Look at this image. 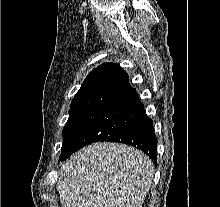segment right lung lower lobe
Segmentation results:
<instances>
[{
  "label": "right lung lower lobe",
  "instance_id": "obj_1",
  "mask_svg": "<svg viewBox=\"0 0 220 207\" xmlns=\"http://www.w3.org/2000/svg\"><path fill=\"white\" fill-rule=\"evenodd\" d=\"M98 141L129 144L142 150L157 163V138L153 121L146 115L124 70L102 83L59 161L66 160L83 146Z\"/></svg>",
  "mask_w": 220,
  "mask_h": 207
}]
</instances>
